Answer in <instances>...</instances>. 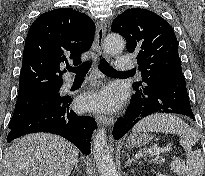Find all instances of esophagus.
Listing matches in <instances>:
<instances>
[{
    "label": "esophagus",
    "mask_w": 205,
    "mask_h": 176,
    "mask_svg": "<svg viewBox=\"0 0 205 176\" xmlns=\"http://www.w3.org/2000/svg\"><path fill=\"white\" fill-rule=\"evenodd\" d=\"M106 33V24L105 22L97 23V33H96V51L99 55L107 58V53L104 48V37ZM96 122L98 124H103L107 126H111L114 123V119L112 117H107L104 115H96Z\"/></svg>",
    "instance_id": "esophagus-1"
}]
</instances>
